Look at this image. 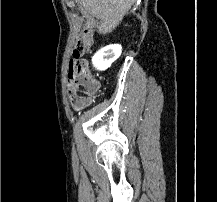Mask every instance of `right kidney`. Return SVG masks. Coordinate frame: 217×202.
I'll return each instance as SVG.
<instances>
[{
    "instance_id": "right-kidney-1",
    "label": "right kidney",
    "mask_w": 217,
    "mask_h": 202,
    "mask_svg": "<svg viewBox=\"0 0 217 202\" xmlns=\"http://www.w3.org/2000/svg\"><path fill=\"white\" fill-rule=\"evenodd\" d=\"M122 48L119 44H110L101 48L97 54L92 58V64L97 70H107L110 68L112 62H115L121 56Z\"/></svg>"
}]
</instances>
